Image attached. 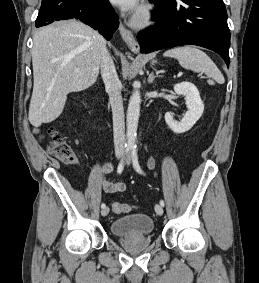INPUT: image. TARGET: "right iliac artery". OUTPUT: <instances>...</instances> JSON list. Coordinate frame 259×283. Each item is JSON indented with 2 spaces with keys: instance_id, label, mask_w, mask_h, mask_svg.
<instances>
[{
  "instance_id": "right-iliac-artery-1",
  "label": "right iliac artery",
  "mask_w": 259,
  "mask_h": 283,
  "mask_svg": "<svg viewBox=\"0 0 259 283\" xmlns=\"http://www.w3.org/2000/svg\"><path fill=\"white\" fill-rule=\"evenodd\" d=\"M129 149H130L129 147L125 148V155H127V153L129 152ZM124 162H125V157L118 164V167H117L118 174H120L123 171V169H124ZM105 207H106V205L104 203H102L101 208H105Z\"/></svg>"
}]
</instances>
